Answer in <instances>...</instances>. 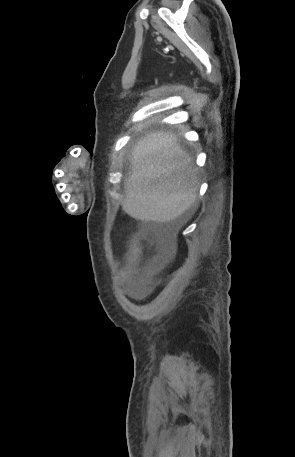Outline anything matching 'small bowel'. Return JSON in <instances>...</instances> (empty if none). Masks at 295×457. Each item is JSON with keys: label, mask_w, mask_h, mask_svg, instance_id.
<instances>
[{"label": "small bowel", "mask_w": 295, "mask_h": 457, "mask_svg": "<svg viewBox=\"0 0 295 457\" xmlns=\"http://www.w3.org/2000/svg\"><path fill=\"white\" fill-rule=\"evenodd\" d=\"M144 293H145V288L140 285L136 286L132 291L133 296H135L137 298L142 297Z\"/></svg>", "instance_id": "small-bowel-1"}]
</instances>
